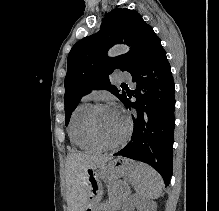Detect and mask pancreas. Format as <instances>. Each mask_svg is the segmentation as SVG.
I'll return each instance as SVG.
<instances>
[{"label":"pancreas","mask_w":219,"mask_h":211,"mask_svg":"<svg viewBox=\"0 0 219 211\" xmlns=\"http://www.w3.org/2000/svg\"><path fill=\"white\" fill-rule=\"evenodd\" d=\"M126 187L127 186L108 187L110 198H106L105 202H97L95 208L101 209L102 207H113L112 211H119V203H122V200L127 199V194L125 192Z\"/></svg>","instance_id":"1"}]
</instances>
